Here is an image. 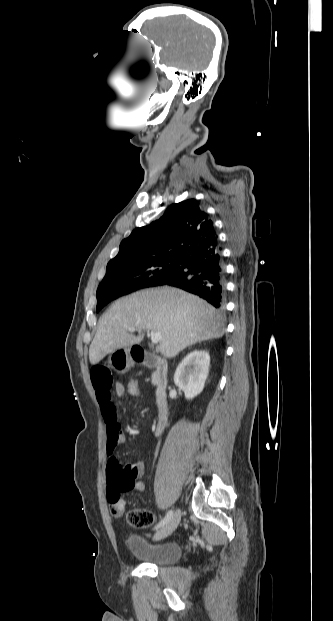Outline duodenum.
I'll return each mask as SVG.
<instances>
[{
	"mask_svg": "<svg viewBox=\"0 0 333 621\" xmlns=\"http://www.w3.org/2000/svg\"><path fill=\"white\" fill-rule=\"evenodd\" d=\"M132 359L143 366L154 370V381L156 386V402L158 416L155 423V434H161L168 422L169 407L167 403V362L160 357L150 354L141 348L134 347L131 350Z\"/></svg>",
	"mask_w": 333,
	"mask_h": 621,
	"instance_id": "obj_1",
	"label": "duodenum"
}]
</instances>
